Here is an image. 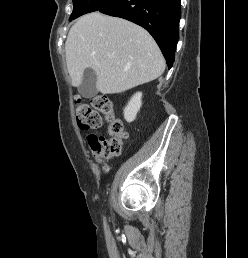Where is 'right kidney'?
<instances>
[{
  "label": "right kidney",
  "instance_id": "right-kidney-1",
  "mask_svg": "<svg viewBox=\"0 0 248 258\" xmlns=\"http://www.w3.org/2000/svg\"><path fill=\"white\" fill-rule=\"evenodd\" d=\"M142 93L137 92L128 102L124 109V118L127 122H133L136 119L137 113L142 105Z\"/></svg>",
  "mask_w": 248,
  "mask_h": 258
}]
</instances>
